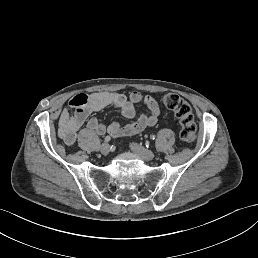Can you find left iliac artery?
<instances>
[{"label": "left iliac artery", "mask_w": 258, "mask_h": 258, "mask_svg": "<svg viewBox=\"0 0 258 258\" xmlns=\"http://www.w3.org/2000/svg\"><path fill=\"white\" fill-rule=\"evenodd\" d=\"M152 140H155L156 139V136L155 135H151L150 137Z\"/></svg>", "instance_id": "obj_1"}]
</instances>
